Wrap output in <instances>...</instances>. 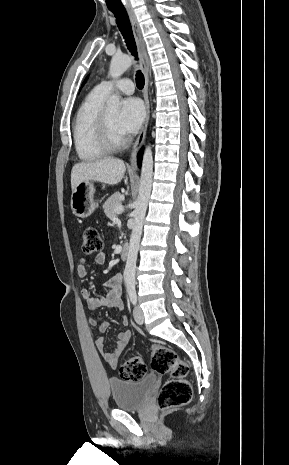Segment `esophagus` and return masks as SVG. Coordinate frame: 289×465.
<instances>
[{
	"label": "esophagus",
	"instance_id": "1",
	"mask_svg": "<svg viewBox=\"0 0 289 465\" xmlns=\"http://www.w3.org/2000/svg\"><path fill=\"white\" fill-rule=\"evenodd\" d=\"M127 13H128L131 25H132V29H133L137 49H138L140 65H141V69L144 74L143 97H144V102H145L146 115H145V120L143 122L141 130L139 132V135L132 147L131 159H130V168L132 170H136L137 169V155L144 143L146 131H147L148 123H149V117H150V106H149V97H148L149 59H148V55H147L146 48H145V42L142 36L141 28L137 20V17L132 8H127Z\"/></svg>",
	"mask_w": 289,
	"mask_h": 465
}]
</instances>
